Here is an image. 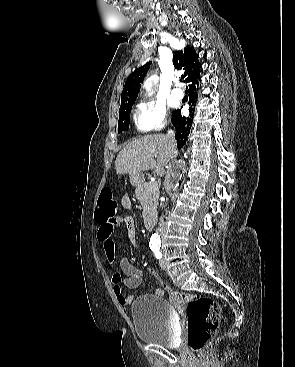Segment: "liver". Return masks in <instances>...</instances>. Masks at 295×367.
I'll return each instance as SVG.
<instances>
[{"label": "liver", "instance_id": "1", "mask_svg": "<svg viewBox=\"0 0 295 367\" xmlns=\"http://www.w3.org/2000/svg\"><path fill=\"white\" fill-rule=\"evenodd\" d=\"M176 155V145L171 149L165 135L139 137L128 143L117 155L116 174H136L153 169L157 176H163L168 163Z\"/></svg>", "mask_w": 295, "mask_h": 367}]
</instances>
